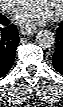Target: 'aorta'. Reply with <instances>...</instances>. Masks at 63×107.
<instances>
[{
	"label": "aorta",
	"mask_w": 63,
	"mask_h": 107,
	"mask_svg": "<svg viewBox=\"0 0 63 107\" xmlns=\"http://www.w3.org/2000/svg\"><path fill=\"white\" fill-rule=\"evenodd\" d=\"M36 41L42 48H50L55 44V34L50 30H41L37 33Z\"/></svg>",
	"instance_id": "762f6f07"
}]
</instances>
